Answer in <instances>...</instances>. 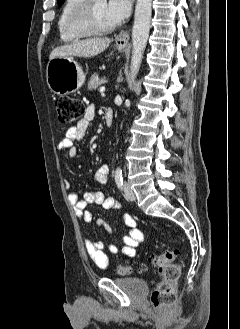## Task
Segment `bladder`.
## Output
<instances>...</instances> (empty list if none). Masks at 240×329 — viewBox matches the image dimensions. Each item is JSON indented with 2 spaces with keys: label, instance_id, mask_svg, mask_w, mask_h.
<instances>
[{
  "label": "bladder",
  "instance_id": "obj_1",
  "mask_svg": "<svg viewBox=\"0 0 240 329\" xmlns=\"http://www.w3.org/2000/svg\"><path fill=\"white\" fill-rule=\"evenodd\" d=\"M114 282L137 296L144 295L148 290L147 282L140 277H116Z\"/></svg>",
  "mask_w": 240,
  "mask_h": 329
}]
</instances>
